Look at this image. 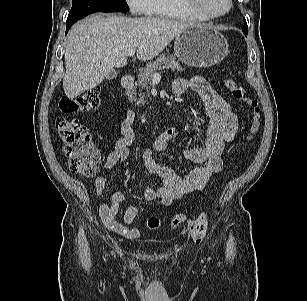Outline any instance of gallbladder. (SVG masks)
I'll return each mask as SVG.
<instances>
[{"instance_id": "obj_1", "label": "gallbladder", "mask_w": 307, "mask_h": 301, "mask_svg": "<svg viewBox=\"0 0 307 301\" xmlns=\"http://www.w3.org/2000/svg\"><path fill=\"white\" fill-rule=\"evenodd\" d=\"M117 76V72L115 70L111 71L110 73H108V75L106 76V79H114Z\"/></svg>"}]
</instances>
